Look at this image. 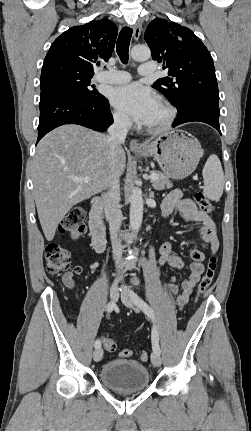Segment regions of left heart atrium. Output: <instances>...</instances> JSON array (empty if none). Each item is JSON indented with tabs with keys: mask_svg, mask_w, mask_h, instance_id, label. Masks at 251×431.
Returning <instances> with one entry per match:
<instances>
[{
	"mask_svg": "<svg viewBox=\"0 0 251 431\" xmlns=\"http://www.w3.org/2000/svg\"><path fill=\"white\" fill-rule=\"evenodd\" d=\"M111 102L120 112L141 124H148L159 105L158 98L139 83L117 87L111 95Z\"/></svg>",
	"mask_w": 251,
	"mask_h": 431,
	"instance_id": "39dd6f15",
	"label": "left heart atrium"
}]
</instances>
